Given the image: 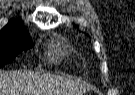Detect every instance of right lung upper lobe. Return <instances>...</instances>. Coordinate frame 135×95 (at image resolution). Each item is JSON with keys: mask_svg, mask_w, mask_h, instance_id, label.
Masks as SVG:
<instances>
[{"mask_svg": "<svg viewBox=\"0 0 135 95\" xmlns=\"http://www.w3.org/2000/svg\"><path fill=\"white\" fill-rule=\"evenodd\" d=\"M21 32L27 33L23 24L18 20H10L8 24L2 28L0 36H6L12 33H21Z\"/></svg>", "mask_w": 135, "mask_h": 95, "instance_id": "obj_1", "label": "right lung upper lobe"}]
</instances>
